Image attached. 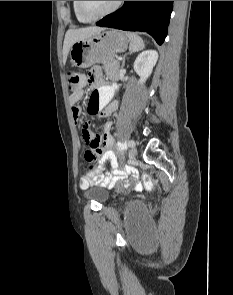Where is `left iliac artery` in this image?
I'll list each match as a JSON object with an SVG mask.
<instances>
[{
	"mask_svg": "<svg viewBox=\"0 0 233 295\" xmlns=\"http://www.w3.org/2000/svg\"><path fill=\"white\" fill-rule=\"evenodd\" d=\"M127 144L130 145V146L132 147V146L134 145V144H133V140H128V141H127Z\"/></svg>",
	"mask_w": 233,
	"mask_h": 295,
	"instance_id": "1",
	"label": "left iliac artery"
}]
</instances>
